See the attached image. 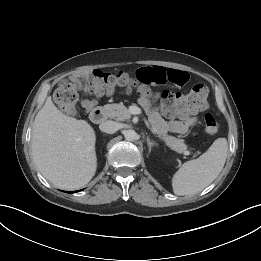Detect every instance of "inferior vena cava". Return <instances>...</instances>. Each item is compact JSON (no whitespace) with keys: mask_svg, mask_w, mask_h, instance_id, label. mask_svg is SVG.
<instances>
[{"mask_svg":"<svg viewBox=\"0 0 261 261\" xmlns=\"http://www.w3.org/2000/svg\"><path fill=\"white\" fill-rule=\"evenodd\" d=\"M99 128H100L101 131H103L105 133L113 134L120 129V125L117 122L107 120L105 122H102L99 125Z\"/></svg>","mask_w":261,"mask_h":261,"instance_id":"602c4592","label":"inferior vena cava"}]
</instances>
